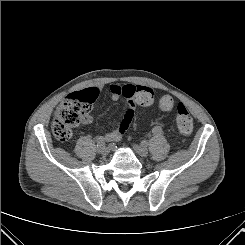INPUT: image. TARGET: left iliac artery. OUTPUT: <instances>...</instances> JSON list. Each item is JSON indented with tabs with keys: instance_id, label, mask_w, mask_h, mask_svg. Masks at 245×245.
<instances>
[{
	"instance_id": "obj_1",
	"label": "left iliac artery",
	"mask_w": 245,
	"mask_h": 245,
	"mask_svg": "<svg viewBox=\"0 0 245 245\" xmlns=\"http://www.w3.org/2000/svg\"><path fill=\"white\" fill-rule=\"evenodd\" d=\"M152 132H153L155 135H159V134H161L162 130H161V128H159V127H155V128L152 130Z\"/></svg>"
}]
</instances>
